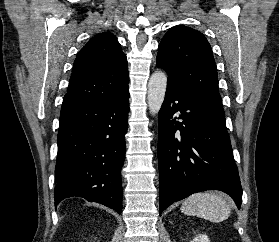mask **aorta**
<instances>
[{
  "mask_svg": "<svg viewBox=\"0 0 279 242\" xmlns=\"http://www.w3.org/2000/svg\"><path fill=\"white\" fill-rule=\"evenodd\" d=\"M167 87V75L162 71H155L148 82L147 103L152 115L159 112L164 101Z\"/></svg>",
  "mask_w": 279,
  "mask_h": 242,
  "instance_id": "aorta-1",
  "label": "aorta"
}]
</instances>
